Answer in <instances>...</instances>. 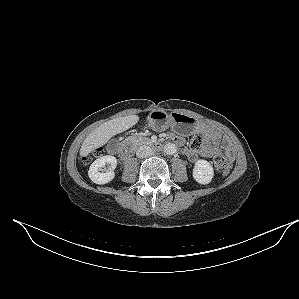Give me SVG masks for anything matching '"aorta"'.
<instances>
[{"mask_svg": "<svg viewBox=\"0 0 299 299\" xmlns=\"http://www.w3.org/2000/svg\"><path fill=\"white\" fill-rule=\"evenodd\" d=\"M177 151V146L173 143H168L164 147V152L168 155H173Z\"/></svg>", "mask_w": 299, "mask_h": 299, "instance_id": "762f6f07", "label": "aorta"}]
</instances>
